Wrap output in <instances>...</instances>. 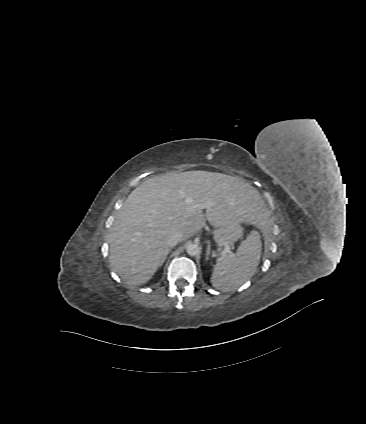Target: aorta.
<instances>
[{
  "mask_svg": "<svg viewBox=\"0 0 366 424\" xmlns=\"http://www.w3.org/2000/svg\"><path fill=\"white\" fill-rule=\"evenodd\" d=\"M186 251L190 256H197L201 252V247L196 243H189L186 247Z\"/></svg>",
  "mask_w": 366,
  "mask_h": 424,
  "instance_id": "762f6f07",
  "label": "aorta"
}]
</instances>
